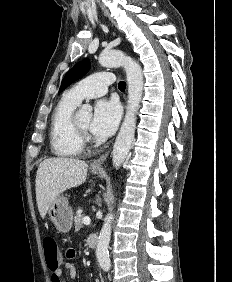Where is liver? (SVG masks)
<instances>
[{
	"label": "liver",
	"mask_w": 232,
	"mask_h": 282,
	"mask_svg": "<svg viewBox=\"0 0 232 282\" xmlns=\"http://www.w3.org/2000/svg\"><path fill=\"white\" fill-rule=\"evenodd\" d=\"M88 165L74 158H49L40 163L36 172V201L42 218L53 201L67 189L85 182Z\"/></svg>",
	"instance_id": "6515ba94"
}]
</instances>
